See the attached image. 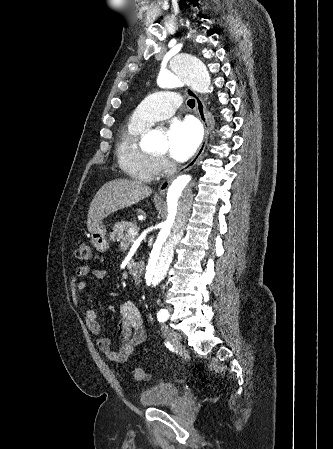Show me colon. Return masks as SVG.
Segmentation results:
<instances>
[{
	"instance_id": "colon-1",
	"label": "colon",
	"mask_w": 333,
	"mask_h": 449,
	"mask_svg": "<svg viewBox=\"0 0 333 449\" xmlns=\"http://www.w3.org/2000/svg\"><path fill=\"white\" fill-rule=\"evenodd\" d=\"M76 257L80 260L87 261L91 256V247L88 243L82 242L76 249ZM134 378L138 381L144 380L146 377L145 371L138 367L133 371Z\"/></svg>"
}]
</instances>
